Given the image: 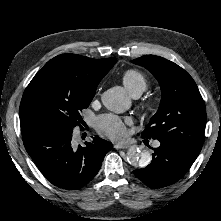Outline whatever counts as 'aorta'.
<instances>
[{"instance_id":"obj_1","label":"aorta","mask_w":221,"mask_h":221,"mask_svg":"<svg viewBox=\"0 0 221 221\" xmlns=\"http://www.w3.org/2000/svg\"><path fill=\"white\" fill-rule=\"evenodd\" d=\"M103 105L110 111L122 113L129 109L131 101L125 90L121 87H113L102 94ZM152 160L151 153L141 147L132 146L127 151V161L134 167L144 168Z\"/></svg>"}]
</instances>
